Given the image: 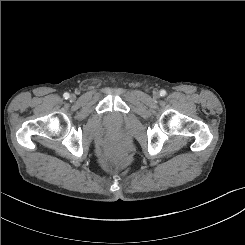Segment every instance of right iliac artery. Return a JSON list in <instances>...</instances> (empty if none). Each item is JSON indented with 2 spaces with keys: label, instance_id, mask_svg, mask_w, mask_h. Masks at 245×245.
I'll use <instances>...</instances> for the list:
<instances>
[{
  "label": "right iliac artery",
  "instance_id": "1",
  "mask_svg": "<svg viewBox=\"0 0 245 245\" xmlns=\"http://www.w3.org/2000/svg\"><path fill=\"white\" fill-rule=\"evenodd\" d=\"M69 93H64V95H63V97L65 98V99H68L69 98Z\"/></svg>",
  "mask_w": 245,
  "mask_h": 245
}]
</instances>
